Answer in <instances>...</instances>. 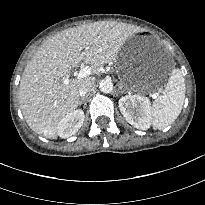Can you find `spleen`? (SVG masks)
<instances>
[{
	"label": "spleen",
	"mask_w": 205,
	"mask_h": 205,
	"mask_svg": "<svg viewBox=\"0 0 205 205\" xmlns=\"http://www.w3.org/2000/svg\"><path fill=\"white\" fill-rule=\"evenodd\" d=\"M185 79L179 68L173 69L162 95L151 107L154 129L163 130L171 125L181 113L185 99Z\"/></svg>",
	"instance_id": "obj_1"
}]
</instances>
